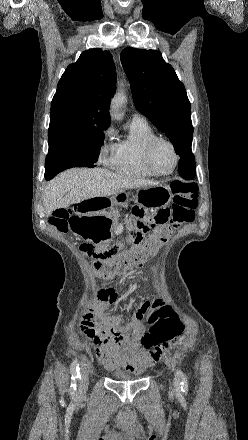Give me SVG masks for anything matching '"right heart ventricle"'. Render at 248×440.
I'll list each match as a JSON object with an SVG mask.
<instances>
[{
	"instance_id": "obj_1",
	"label": "right heart ventricle",
	"mask_w": 248,
	"mask_h": 440,
	"mask_svg": "<svg viewBox=\"0 0 248 440\" xmlns=\"http://www.w3.org/2000/svg\"><path fill=\"white\" fill-rule=\"evenodd\" d=\"M154 137L156 134L147 122L132 121L128 135L116 144L113 168L129 176H153L144 166L142 153L145 144Z\"/></svg>"
}]
</instances>
